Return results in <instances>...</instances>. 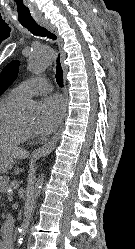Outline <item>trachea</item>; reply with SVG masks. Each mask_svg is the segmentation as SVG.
I'll return each instance as SVG.
<instances>
[{"label": "trachea", "instance_id": "1", "mask_svg": "<svg viewBox=\"0 0 135 249\" xmlns=\"http://www.w3.org/2000/svg\"><path fill=\"white\" fill-rule=\"evenodd\" d=\"M22 26L27 28L33 35L40 36V37H47L52 40H56L55 34L47 30L45 27L40 26L36 22H26L21 23ZM56 81L60 87H63V70L60 64V54L57 58V67H56Z\"/></svg>", "mask_w": 135, "mask_h": 249}]
</instances>
